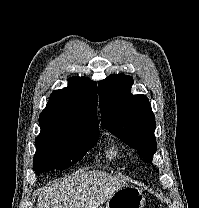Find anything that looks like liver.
<instances>
[{
    "label": "liver",
    "instance_id": "1",
    "mask_svg": "<svg viewBox=\"0 0 199 208\" xmlns=\"http://www.w3.org/2000/svg\"><path fill=\"white\" fill-rule=\"evenodd\" d=\"M126 185L104 171H80L41 189L37 208H99Z\"/></svg>",
    "mask_w": 199,
    "mask_h": 208
}]
</instances>
